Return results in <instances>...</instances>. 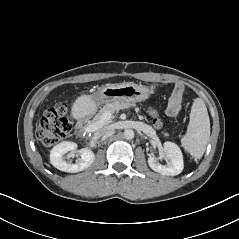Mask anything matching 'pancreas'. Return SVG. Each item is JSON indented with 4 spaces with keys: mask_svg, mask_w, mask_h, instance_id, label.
Here are the masks:
<instances>
[{
    "mask_svg": "<svg viewBox=\"0 0 239 239\" xmlns=\"http://www.w3.org/2000/svg\"><path fill=\"white\" fill-rule=\"evenodd\" d=\"M135 106L134 104H130V103H124V102H119V101H114L112 103H108L106 104L103 108H101V110L99 111V113L97 114V116L95 117V120H98L101 115L106 112V111H110L111 114L121 110V109H128L130 107ZM164 136H168V133L163 132Z\"/></svg>",
    "mask_w": 239,
    "mask_h": 239,
    "instance_id": "pancreas-1",
    "label": "pancreas"
}]
</instances>
